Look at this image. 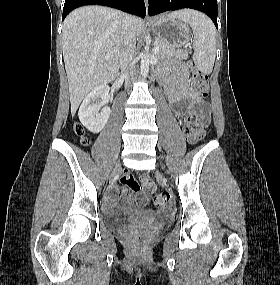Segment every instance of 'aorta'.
I'll return each instance as SVG.
<instances>
[{"mask_svg": "<svg viewBox=\"0 0 280 285\" xmlns=\"http://www.w3.org/2000/svg\"><path fill=\"white\" fill-rule=\"evenodd\" d=\"M140 70L142 77L146 78L149 72V56L147 53L142 54Z\"/></svg>", "mask_w": 280, "mask_h": 285, "instance_id": "762f6f07", "label": "aorta"}]
</instances>
